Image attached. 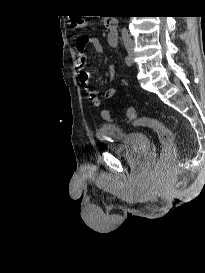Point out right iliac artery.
Returning <instances> with one entry per match:
<instances>
[{"label": "right iliac artery", "instance_id": "1", "mask_svg": "<svg viewBox=\"0 0 205 273\" xmlns=\"http://www.w3.org/2000/svg\"><path fill=\"white\" fill-rule=\"evenodd\" d=\"M125 64H126L127 66H129V67L132 65V62H131V59H130L129 56H126V57H125Z\"/></svg>", "mask_w": 205, "mask_h": 273}]
</instances>
